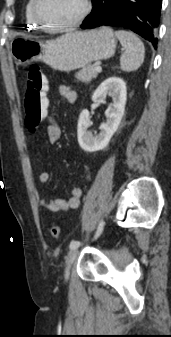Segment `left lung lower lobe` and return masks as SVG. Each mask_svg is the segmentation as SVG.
<instances>
[{"mask_svg":"<svg viewBox=\"0 0 171 337\" xmlns=\"http://www.w3.org/2000/svg\"><path fill=\"white\" fill-rule=\"evenodd\" d=\"M93 4L92 12L81 25L82 29L103 25L127 28L156 48L162 0H93Z\"/></svg>","mask_w":171,"mask_h":337,"instance_id":"0a47b994","label":"left lung lower lobe"}]
</instances>
